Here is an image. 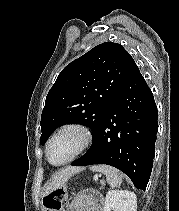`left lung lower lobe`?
Returning a JSON list of instances; mask_svg holds the SVG:
<instances>
[{
  "mask_svg": "<svg viewBox=\"0 0 179 211\" xmlns=\"http://www.w3.org/2000/svg\"><path fill=\"white\" fill-rule=\"evenodd\" d=\"M158 113L153 94L133 61L108 105L90 149L74 166L107 164L145 190L155 155Z\"/></svg>",
  "mask_w": 179,
  "mask_h": 211,
  "instance_id": "left-lung-lower-lobe-1",
  "label": "left lung lower lobe"
}]
</instances>
